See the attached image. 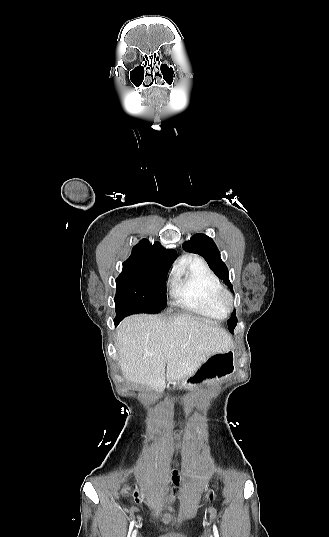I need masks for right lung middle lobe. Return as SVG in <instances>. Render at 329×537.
Listing matches in <instances>:
<instances>
[{
  "label": "right lung middle lobe",
  "instance_id": "obj_1",
  "mask_svg": "<svg viewBox=\"0 0 329 537\" xmlns=\"http://www.w3.org/2000/svg\"><path fill=\"white\" fill-rule=\"evenodd\" d=\"M168 271V267L159 265L122 271L116 279L114 322L143 310L157 312L165 308Z\"/></svg>",
  "mask_w": 329,
  "mask_h": 537
}]
</instances>
